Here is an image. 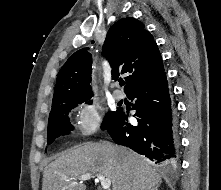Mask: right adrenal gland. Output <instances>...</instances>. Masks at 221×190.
I'll return each mask as SVG.
<instances>
[{"label": "right adrenal gland", "mask_w": 221, "mask_h": 190, "mask_svg": "<svg viewBox=\"0 0 221 190\" xmlns=\"http://www.w3.org/2000/svg\"><path fill=\"white\" fill-rule=\"evenodd\" d=\"M152 190H158V186H156L155 188H153Z\"/></svg>", "instance_id": "obj_1"}]
</instances>
